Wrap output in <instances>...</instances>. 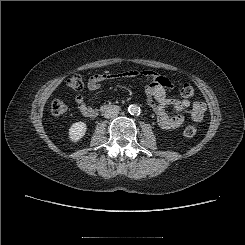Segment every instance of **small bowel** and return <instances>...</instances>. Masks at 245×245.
<instances>
[{
  "instance_id": "c3829d8e",
  "label": "small bowel",
  "mask_w": 245,
  "mask_h": 245,
  "mask_svg": "<svg viewBox=\"0 0 245 245\" xmlns=\"http://www.w3.org/2000/svg\"><path fill=\"white\" fill-rule=\"evenodd\" d=\"M142 77L146 80L145 97L148 105L153 110L158 125L163 130H174L179 128L185 121L183 112H187L194 122H200L206 112V105L202 101H191L187 98L176 99L167 96V92L173 89L172 82L165 76L151 70L135 71L129 70L121 73L93 74L88 80L90 90H96L100 83L109 79ZM79 112L87 117L94 118L97 110L88 104L83 96L75 98ZM171 109L174 114H169Z\"/></svg>"
}]
</instances>
